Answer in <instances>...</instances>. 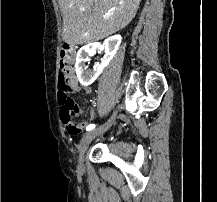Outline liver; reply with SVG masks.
<instances>
[{"instance_id":"6515ba94","label":"liver","mask_w":217,"mask_h":202,"mask_svg":"<svg viewBox=\"0 0 217 202\" xmlns=\"http://www.w3.org/2000/svg\"><path fill=\"white\" fill-rule=\"evenodd\" d=\"M141 0H59L63 40L90 44L123 30L135 18ZM107 18V20H104Z\"/></svg>"}]
</instances>
